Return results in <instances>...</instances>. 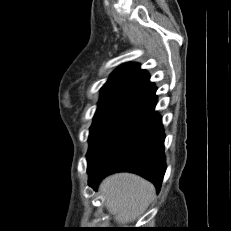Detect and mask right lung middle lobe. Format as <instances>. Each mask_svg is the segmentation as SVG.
I'll return each mask as SVG.
<instances>
[{
    "label": "right lung middle lobe",
    "mask_w": 231,
    "mask_h": 231,
    "mask_svg": "<svg viewBox=\"0 0 231 231\" xmlns=\"http://www.w3.org/2000/svg\"><path fill=\"white\" fill-rule=\"evenodd\" d=\"M151 107L132 98L101 99L90 128L88 161L117 132Z\"/></svg>",
    "instance_id": "1"
}]
</instances>
